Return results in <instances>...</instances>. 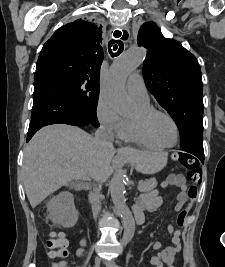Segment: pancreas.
<instances>
[{"mask_svg":"<svg viewBox=\"0 0 225 267\" xmlns=\"http://www.w3.org/2000/svg\"><path fill=\"white\" fill-rule=\"evenodd\" d=\"M157 187V181L155 178H151L147 181H141V183L138 185V190L141 193H147L152 191Z\"/></svg>","mask_w":225,"mask_h":267,"instance_id":"pancreas-1","label":"pancreas"}]
</instances>
